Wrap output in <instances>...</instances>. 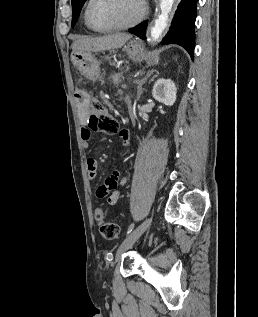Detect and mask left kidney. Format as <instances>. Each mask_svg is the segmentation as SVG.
Masks as SVG:
<instances>
[{
	"mask_svg": "<svg viewBox=\"0 0 258 317\" xmlns=\"http://www.w3.org/2000/svg\"><path fill=\"white\" fill-rule=\"evenodd\" d=\"M176 92L175 82L171 78H158L152 88L154 98L160 100V102H164V104H169V106L174 104Z\"/></svg>",
	"mask_w": 258,
	"mask_h": 317,
	"instance_id": "obj_1",
	"label": "left kidney"
}]
</instances>
